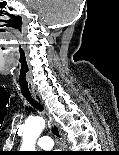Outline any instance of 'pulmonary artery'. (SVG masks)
Masks as SVG:
<instances>
[{
	"label": "pulmonary artery",
	"mask_w": 119,
	"mask_h": 155,
	"mask_svg": "<svg viewBox=\"0 0 119 155\" xmlns=\"http://www.w3.org/2000/svg\"><path fill=\"white\" fill-rule=\"evenodd\" d=\"M37 145L41 148V149H51L54 146V142L52 140L51 137L49 136H42L41 138H39V140L37 141Z\"/></svg>",
	"instance_id": "e3ab8cb5"
}]
</instances>
